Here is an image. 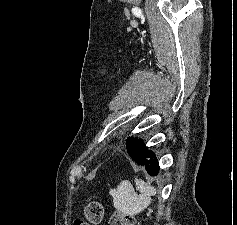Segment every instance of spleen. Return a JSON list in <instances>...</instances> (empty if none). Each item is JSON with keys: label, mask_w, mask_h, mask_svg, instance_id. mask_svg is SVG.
Listing matches in <instances>:
<instances>
[{"label": "spleen", "mask_w": 237, "mask_h": 225, "mask_svg": "<svg viewBox=\"0 0 237 225\" xmlns=\"http://www.w3.org/2000/svg\"><path fill=\"white\" fill-rule=\"evenodd\" d=\"M137 194L130 182L122 181L116 189H110L114 207L124 215H136L146 209L151 203L156 188L141 179H135Z\"/></svg>", "instance_id": "1"}]
</instances>
